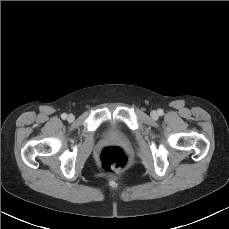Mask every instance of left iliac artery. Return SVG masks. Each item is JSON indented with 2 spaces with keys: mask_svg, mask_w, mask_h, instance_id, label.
<instances>
[{
  "mask_svg": "<svg viewBox=\"0 0 229 229\" xmlns=\"http://www.w3.org/2000/svg\"><path fill=\"white\" fill-rule=\"evenodd\" d=\"M157 112H158V115H160V116H162L164 114L162 109H159Z\"/></svg>",
  "mask_w": 229,
  "mask_h": 229,
  "instance_id": "obj_1",
  "label": "left iliac artery"
}]
</instances>
